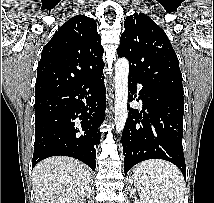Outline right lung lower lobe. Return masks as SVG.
Masks as SVG:
<instances>
[{"instance_id":"98d812e1","label":"right lung lower lobe","mask_w":214,"mask_h":203,"mask_svg":"<svg viewBox=\"0 0 214 203\" xmlns=\"http://www.w3.org/2000/svg\"><path fill=\"white\" fill-rule=\"evenodd\" d=\"M100 72L80 83L35 99V143L32 167L57 155L76 158L95 170L99 126L106 107Z\"/></svg>"}]
</instances>
